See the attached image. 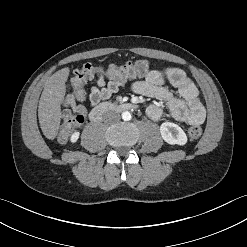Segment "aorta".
Masks as SVG:
<instances>
[{
  "label": "aorta",
  "mask_w": 247,
  "mask_h": 247,
  "mask_svg": "<svg viewBox=\"0 0 247 247\" xmlns=\"http://www.w3.org/2000/svg\"><path fill=\"white\" fill-rule=\"evenodd\" d=\"M131 118H132V116H131V113L129 111H124L122 113V119L124 121H129V120H131Z\"/></svg>",
  "instance_id": "aorta-1"
}]
</instances>
